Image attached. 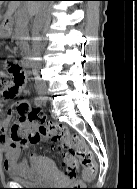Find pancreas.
Masks as SVG:
<instances>
[{"mask_svg":"<svg viewBox=\"0 0 137 189\" xmlns=\"http://www.w3.org/2000/svg\"><path fill=\"white\" fill-rule=\"evenodd\" d=\"M28 21L26 19H18L15 26V38L20 41L22 45L26 43L28 37Z\"/></svg>","mask_w":137,"mask_h":189,"instance_id":"obj_1","label":"pancreas"}]
</instances>
